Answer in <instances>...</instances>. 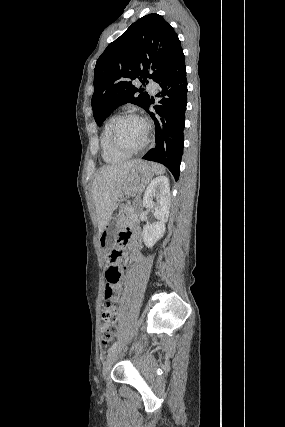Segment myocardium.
I'll use <instances>...</instances> for the list:
<instances>
[{
	"label": "myocardium",
	"instance_id": "myocardium-1",
	"mask_svg": "<svg viewBox=\"0 0 285 427\" xmlns=\"http://www.w3.org/2000/svg\"><path fill=\"white\" fill-rule=\"evenodd\" d=\"M125 119H138V120L142 121L146 127V136H145L143 142L138 147L133 148V149H129L126 146H124L119 141V139L117 137L118 126ZM109 136H110V141H111L112 146L117 151L124 153V154L133 155V154L140 152L141 150H143L148 145L149 140H150V124L145 118H143L139 114H136L133 112H125V113H122V114L115 117V119L111 125V128H110Z\"/></svg>",
	"mask_w": 285,
	"mask_h": 427
}]
</instances>
